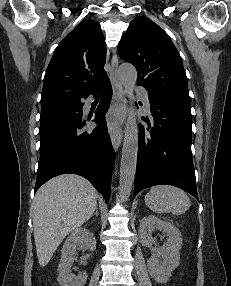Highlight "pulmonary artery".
I'll return each mask as SVG.
<instances>
[{
    "instance_id": "1",
    "label": "pulmonary artery",
    "mask_w": 231,
    "mask_h": 286,
    "mask_svg": "<svg viewBox=\"0 0 231 286\" xmlns=\"http://www.w3.org/2000/svg\"><path fill=\"white\" fill-rule=\"evenodd\" d=\"M135 91L141 96L144 104L146 106H149V97H148V92L145 88L141 87V86H136L135 87Z\"/></svg>"
}]
</instances>
